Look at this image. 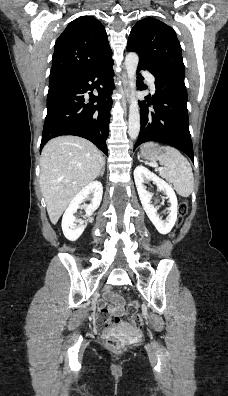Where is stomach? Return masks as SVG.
<instances>
[{"mask_svg":"<svg viewBox=\"0 0 228 396\" xmlns=\"http://www.w3.org/2000/svg\"><path fill=\"white\" fill-rule=\"evenodd\" d=\"M163 155L164 154L160 148H145L141 151V156L150 159H159Z\"/></svg>","mask_w":228,"mask_h":396,"instance_id":"stomach-1","label":"stomach"}]
</instances>
